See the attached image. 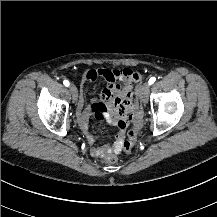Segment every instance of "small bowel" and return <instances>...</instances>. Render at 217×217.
<instances>
[{"instance_id": "c3829d8e", "label": "small bowel", "mask_w": 217, "mask_h": 217, "mask_svg": "<svg viewBox=\"0 0 217 217\" xmlns=\"http://www.w3.org/2000/svg\"><path fill=\"white\" fill-rule=\"evenodd\" d=\"M97 80H106V85L89 106L85 107L83 86H88L92 81ZM139 80L140 75L129 68L109 72L106 69H94L81 75L82 85L76 122L87 139L92 157L104 158L109 154H117L123 149L129 121L138 119L142 115L141 89L136 85ZM92 118L105 120L116 129V140L113 145L96 144L88 127V121Z\"/></svg>"}]
</instances>
